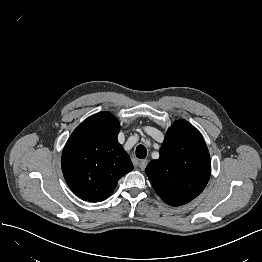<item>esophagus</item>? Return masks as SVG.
I'll list each match as a JSON object with an SVG mask.
<instances>
[{
	"label": "esophagus",
	"instance_id": "1",
	"mask_svg": "<svg viewBox=\"0 0 262 262\" xmlns=\"http://www.w3.org/2000/svg\"><path fill=\"white\" fill-rule=\"evenodd\" d=\"M148 164V161L147 160H139L137 162V166L141 169V170H144L146 168Z\"/></svg>",
	"mask_w": 262,
	"mask_h": 262
}]
</instances>
